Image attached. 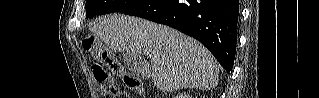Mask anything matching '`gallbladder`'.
<instances>
[{
    "mask_svg": "<svg viewBox=\"0 0 319 98\" xmlns=\"http://www.w3.org/2000/svg\"><path fill=\"white\" fill-rule=\"evenodd\" d=\"M123 63L125 64L126 68L133 73L139 72V61L136 57L129 53H123L122 55Z\"/></svg>",
    "mask_w": 319,
    "mask_h": 98,
    "instance_id": "1",
    "label": "gallbladder"
}]
</instances>
